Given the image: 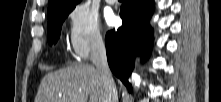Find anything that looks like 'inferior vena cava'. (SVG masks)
<instances>
[{
	"label": "inferior vena cava",
	"instance_id": "1",
	"mask_svg": "<svg viewBox=\"0 0 221 102\" xmlns=\"http://www.w3.org/2000/svg\"><path fill=\"white\" fill-rule=\"evenodd\" d=\"M91 60L97 69L101 71L105 86L104 102H118V93L108 66L105 44L100 35L96 36L92 42Z\"/></svg>",
	"mask_w": 221,
	"mask_h": 102
}]
</instances>
